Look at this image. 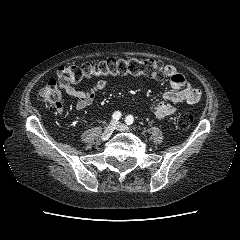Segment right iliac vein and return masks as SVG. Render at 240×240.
Here are the masks:
<instances>
[{
  "label": "right iliac vein",
  "instance_id": "1",
  "mask_svg": "<svg viewBox=\"0 0 240 240\" xmlns=\"http://www.w3.org/2000/svg\"><path fill=\"white\" fill-rule=\"evenodd\" d=\"M115 129V121H112L104 130V132L101 135V139L103 141H106L110 138L111 134L113 133Z\"/></svg>",
  "mask_w": 240,
  "mask_h": 240
}]
</instances>
